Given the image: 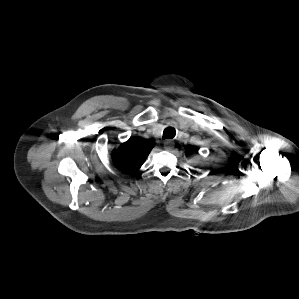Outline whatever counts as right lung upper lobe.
<instances>
[{
	"instance_id": "cb5924a9",
	"label": "right lung upper lobe",
	"mask_w": 299,
	"mask_h": 299,
	"mask_svg": "<svg viewBox=\"0 0 299 299\" xmlns=\"http://www.w3.org/2000/svg\"><path fill=\"white\" fill-rule=\"evenodd\" d=\"M151 148L139 139H129L112 152L116 167L125 173H134L142 166Z\"/></svg>"
}]
</instances>
